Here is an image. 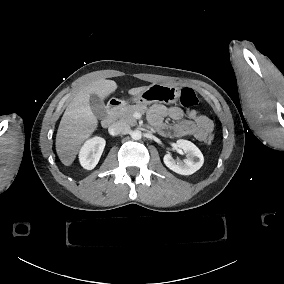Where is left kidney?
Here are the masks:
<instances>
[{
    "instance_id": "obj_1",
    "label": "left kidney",
    "mask_w": 284,
    "mask_h": 284,
    "mask_svg": "<svg viewBox=\"0 0 284 284\" xmlns=\"http://www.w3.org/2000/svg\"><path fill=\"white\" fill-rule=\"evenodd\" d=\"M176 147L186 151L187 158L178 162L170 154H166L163 161L170 170L180 175H192L203 166L204 156L195 144L179 139L176 142Z\"/></svg>"
}]
</instances>
